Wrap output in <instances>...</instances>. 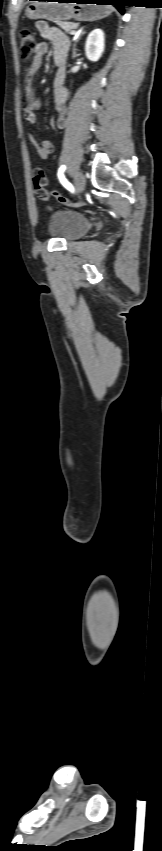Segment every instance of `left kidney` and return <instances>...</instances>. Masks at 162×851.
<instances>
[{
	"label": "left kidney",
	"instance_id": "5707ae66",
	"mask_svg": "<svg viewBox=\"0 0 162 851\" xmlns=\"http://www.w3.org/2000/svg\"><path fill=\"white\" fill-rule=\"evenodd\" d=\"M105 48L104 32L101 29L93 30L87 37L85 43V55L90 61L96 62L102 56Z\"/></svg>",
	"mask_w": 162,
	"mask_h": 851
}]
</instances>
